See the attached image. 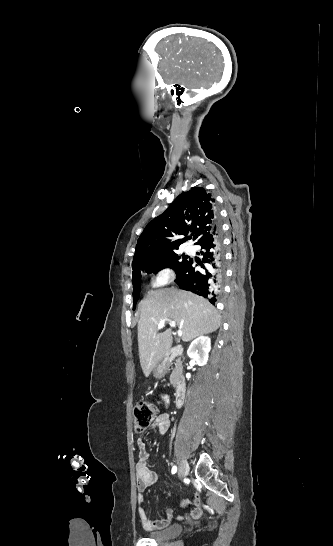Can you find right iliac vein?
<instances>
[{
  "mask_svg": "<svg viewBox=\"0 0 333 546\" xmlns=\"http://www.w3.org/2000/svg\"><path fill=\"white\" fill-rule=\"evenodd\" d=\"M188 471H189V465L186 460H183L179 465L178 476L183 477L187 475Z\"/></svg>",
  "mask_w": 333,
  "mask_h": 546,
  "instance_id": "1",
  "label": "right iliac vein"
}]
</instances>
